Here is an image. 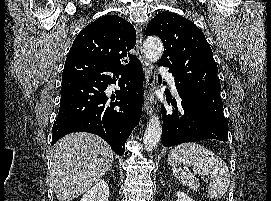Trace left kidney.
<instances>
[{
	"instance_id": "1",
	"label": "left kidney",
	"mask_w": 271,
	"mask_h": 201,
	"mask_svg": "<svg viewBox=\"0 0 271 201\" xmlns=\"http://www.w3.org/2000/svg\"><path fill=\"white\" fill-rule=\"evenodd\" d=\"M176 201H194L184 192H177V200Z\"/></svg>"
}]
</instances>
